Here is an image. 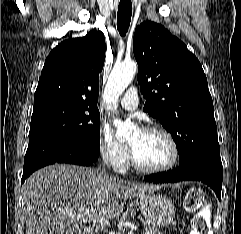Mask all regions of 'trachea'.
Instances as JSON below:
<instances>
[{
	"mask_svg": "<svg viewBox=\"0 0 241 234\" xmlns=\"http://www.w3.org/2000/svg\"><path fill=\"white\" fill-rule=\"evenodd\" d=\"M132 16L131 0H120L117 12V29L121 36H125Z\"/></svg>",
	"mask_w": 241,
	"mask_h": 234,
	"instance_id": "3493384b",
	"label": "trachea"
}]
</instances>
